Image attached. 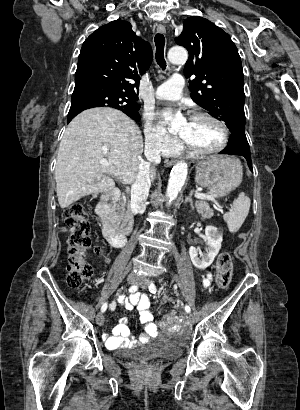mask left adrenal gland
<instances>
[{
	"label": "left adrenal gland",
	"instance_id": "left-adrenal-gland-1",
	"mask_svg": "<svg viewBox=\"0 0 300 410\" xmlns=\"http://www.w3.org/2000/svg\"><path fill=\"white\" fill-rule=\"evenodd\" d=\"M193 193H194V190H192L189 193V195L185 198V203H189L192 210L194 209V202H193V199H192Z\"/></svg>",
	"mask_w": 300,
	"mask_h": 410
}]
</instances>
